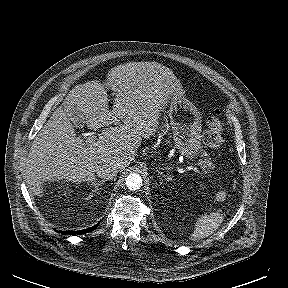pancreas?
<instances>
[{"label": "pancreas", "instance_id": "obj_1", "mask_svg": "<svg viewBox=\"0 0 288 288\" xmlns=\"http://www.w3.org/2000/svg\"><path fill=\"white\" fill-rule=\"evenodd\" d=\"M198 164L202 169H213L214 164L210 161L209 157H205L204 159L199 160Z\"/></svg>", "mask_w": 288, "mask_h": 288}]
</instances>
